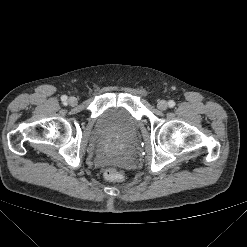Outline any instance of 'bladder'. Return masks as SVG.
<instances>
[{"mask_svg":"<svg viewBox=\"0 0 247 247\" xmlns=\"http://www.w3.org/2000/svg\"><path fill=\"white\" fill-rule=\"evenodd\" d=\"M138 129V123L132 113L119 106H110L104 109L97 118L96 131L101 137L106 135L118 136L127 149L133 143Z\"/></svg>","mask_w":247,"mask_h":247,"instance_id":"1","label":"bladder"}]
</instances>
